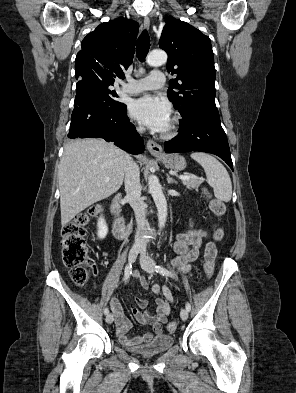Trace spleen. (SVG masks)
Segmentation results:
<instances>
[{"mask_svg":"<svg viewBox=\"0 0 296 393\" xmlns=\"http://www.w3.org/2000/svg\"><path fill=\"white\" fill-rule=\"evenodd\" d=\"M190 156L203 167L215 197L219 201L229 202L232 197V182L225 167L215 157L203 152H195Z\"/></svg>","mask_w":296,"mask_h":393,"instance_id":"1","label":"spleen"}]
</instances>
